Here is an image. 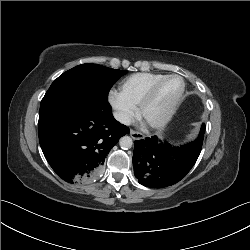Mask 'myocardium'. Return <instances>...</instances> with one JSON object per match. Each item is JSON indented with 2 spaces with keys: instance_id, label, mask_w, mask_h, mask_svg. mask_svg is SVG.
<instances>
[{
  "instance_id": "myocardium-1",
  "label": "myocardium",
  "mask_w": 250,
  "mask_h": 250,
  "mask_svg": "<svg viewBox=\"0 0 250 250\" xmlns=\"http://www.w3.org/2000/svg\"><path fill=\"white\" fill-rule=\"evenodd\" d=\"M173 78L179 79L182 82V88H181L179 94L173 100V102L171 103V105L169 106V108L167 109V111L165 112V114L162 117H160L159 119H157L155 121L147 120L145 117L146 110H147L148 106L151 104V102L154 100L158 89L160 88V86L164 82H166L169 79H173ZM185 89H186L185 80L183 79V77H181L180 75H177V74L165 75L164 77H162L159 80H157L156 82H154L151 85V87L148 89L146 94L143 96L140 103L138 104L139 105L138 106V116L143 121L145 126L150 128V129H153V130H159V129L164 128L172 120V118L177 110V107H178V105H179V103L184 95Z\"/></svg>"
}]
</instances>
